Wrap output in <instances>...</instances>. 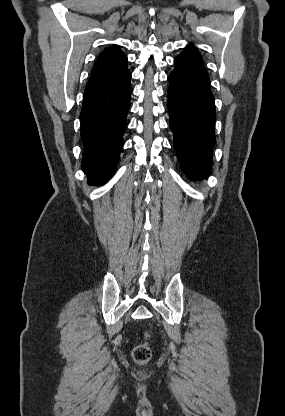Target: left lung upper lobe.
Instances as JSON below:
<instances>
[{"label": "left lung upper lobe", "mask_w": 285, "mask_h": 416, "mask_svg": "<svg viewBox=\"0 0 285 416\" xmlns=\"http://www.w3.org/2000/svg\"><path fill=\"white\" fill-rule=\"evenodd\" d=\"M179 56H186V57L192 58V59H194V60L203 64L202 57H201L200 53L194 48V46L192 44H189L185 48V51L182 52Z\"/></svg>", "instance_id": "obj_1"}]
</instances>
